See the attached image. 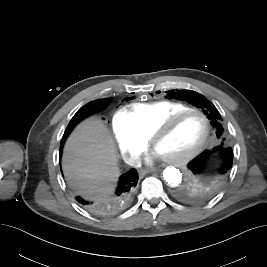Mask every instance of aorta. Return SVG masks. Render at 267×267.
I'll list each match as a JSON object with an SVG mask.
<instances>
[{
	"mask_svg": "<svg viewBox=\"0 0 267 267\" xmlns=\"http://www.w3.org/2000/svg\"><path fill=\"white\" fill-rule=\"evenodd\" d=\"M183 172L180 169L169 166L163 171V178L168 185L172 187L178 186L182 182Z\"/></svg>",
	"mask_w": 267,
	"mask_h": 267,
	"instance_id": "1",
	"label": "aorta"
}]
</instances>
